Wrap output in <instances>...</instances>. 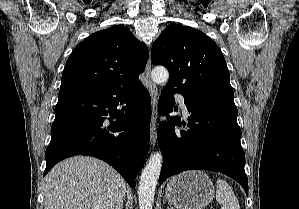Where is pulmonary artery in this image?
I'll return each instance as SVG.
<instances>
[{
	"label": "pulmonary artery",
	"instance_id": "obj_1",
	"mask_svg": "<svg viewBox=\"0 0 299 209\" xmlns=\"http://www.w3.org/2000/svg\"><path fill=\"white\" fill-rule=\"evenodd\" d=\"M176 99H177L179 105L181 106V108L183 109L184 114L188 115V110H187L185 102H184V97L181 94H177Z\"/></svg>",
	"mask_w": 299,
	"mask_h": 209
}]
</instances>
